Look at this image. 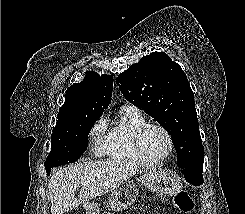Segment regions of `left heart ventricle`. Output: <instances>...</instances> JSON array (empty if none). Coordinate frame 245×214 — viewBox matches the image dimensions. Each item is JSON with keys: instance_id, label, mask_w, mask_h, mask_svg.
<instances>
[{"instance_id": "left-heart-ventricle-1", "label": "left heart ventricle", "mask_w": 245, "mask_h": 214, "mask_svg": "<svg viewBox=\"0 0 245 214\" xmlns=\"http://www.w3.org/2000/svg\"><path fill=\"white\" fill-rule=\"evenodd\" d=\"M143 149L149 159L162 158L168 151L166 136L158 129H149L143 138Z\"/></svg>"}]
</instances>
